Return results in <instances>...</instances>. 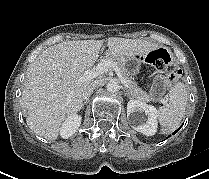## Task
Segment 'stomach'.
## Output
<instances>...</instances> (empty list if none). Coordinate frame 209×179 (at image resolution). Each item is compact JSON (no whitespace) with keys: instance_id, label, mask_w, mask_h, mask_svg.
<instances>
[{"instance_id":"1","label":"stomach","mask_w":209,"mask_h":179,"mask_svg":"<svg viewBox=\"0 0 209 179\" xmlns=\"http://www.w3.org/2000/svg\"><path fill=\"white\" fill-rule=\"evenodd\" d=\"M141 55L124 57L121 61L125 73L129 78L137 76L141 69Z\"/></svg>"}]
</instances>
